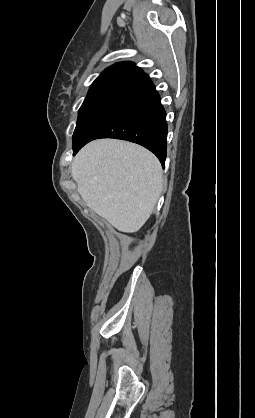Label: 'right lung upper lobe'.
<instances>
[{"label":"right lung upper lobe","instance_id":"cb5924a9","mask_svg":"<svg viewBox=\"0 0 255 418\" xmlns=\"http://www.w3.org/2000/svg\"><path fill=\"white\" fill-rule=\"evenodd\" d=\"M145 79H148V75L135 64L121 62L103 71L93 84L118 85L126 88Z\"/></svg>","mask_w":255,"mask_h":418}]
</instances>
